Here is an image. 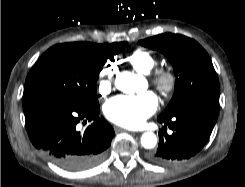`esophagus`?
I'll return each instance as SVG.
<instances>
[{"label":"esophagus","mask_w":245,"mask_h":187,"mask_svg":"<svg viewBox=\"0 0 245 187\" xmlns=\"http://www.w3.org/2000/svg\"><path fill=\"white\" fill-rule=\"evenodd\" d=\"M114 129H115L116 132L127 131L126 129L121 128V127H117V126L114 127Z\"/></svg>","instance_id":"34e87169"}]
</instances>
